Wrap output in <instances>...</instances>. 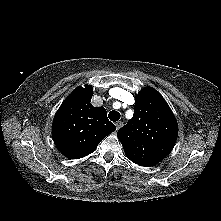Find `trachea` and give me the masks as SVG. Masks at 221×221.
<instances>
[{
  "instance_id": "1",
  "label": "trachea",
  "mask_w": 221,
  "mask_h": 221,
  "mask_svg": "<svg viewBox=\"0 0 221 221\" xmlns=\"http://www.w3.org/2000/svg\"><path fill=\"white\" fill-rule=\"evenodd\" d=\"M120 116V113L114 110L108 114L109 119L113 122L118 121L120 119Z\"/></svg>"
}]
</instances>
